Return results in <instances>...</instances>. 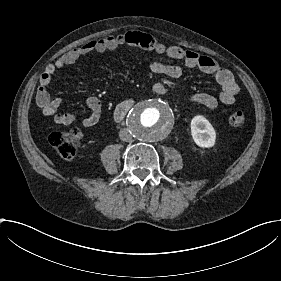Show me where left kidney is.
Masks as SVG:
<instances>
[{
  "label": "left kidney",
  "mask_w": 281,
  "mask_h": 281,
  "mask_svg": "<svg viewBox=\"0 0 281 281\" xmlns=\"http://www.w3.org/2000/svg\"><path fill=\"white\" fill-rule=\"evenodd\" d=\"M193 142L202 149H210L216 144V131L209 120L203 115H196L190 122Z\"/></svg>",
  "instance_id": "obj_1"
}]
</instances>
